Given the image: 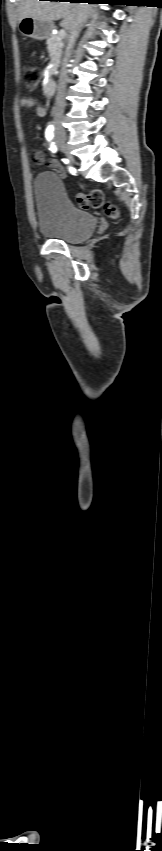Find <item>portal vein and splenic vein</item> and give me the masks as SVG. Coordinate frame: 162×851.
I'll use <instances>...</instances> for the list:
<instances>
[{"instance_id":"18ae733b","label":"portal vein and splenic vein","mask_w":162,"mask_h":851,"mask_svg":"<svg viewBox=\"0 0 162 851\" xmlns=\"http://www.w3.org/2000/svg\"><path fill=\"white\" fill-rule=\"evenodd\" d=\"M60 36H61V38H64L66 36V30L65 29H62L60 31Z\"/></svg>"}]
</instances>
